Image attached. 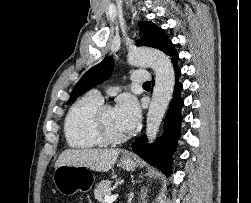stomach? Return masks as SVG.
<instances>
[{"instance_id": "stomach-1", "label": "stomach", "mask_w": 251, "mask_h": 203, "mask_svg": "<svg viewBox=\"0 0 251 203\" xmlns=\"http://www.w3.org/2000/svg\"><path fill=\"white\" fill-rule=\"evenodd\" d=\"M119 165L126 171H132L136 162L130 157H122ZM95 177L89 168L84 166L62 165L55 169L53 181L57 190L64 195L77 191L87 192L92 188Z\"/></svg>"}]
</instances>
